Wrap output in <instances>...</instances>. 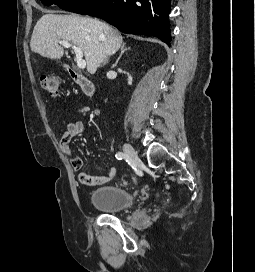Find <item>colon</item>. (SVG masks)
Listing matches in <instances>:
<instances>
[{"instance_id":"1","label":"colon","mask_w":255,"mask_h":272,"mask_svg":"<svg viewBox=\"0 0 255 272\" xmlns=\"http://www.w3.org/2000/svg\"><path fill=\"white\" fill-rule=\"evenodd\" d=\"M61 78L56 73H48L41 76V86L53 98H57L60 93Z\"/></svg>"}]
</instances>
